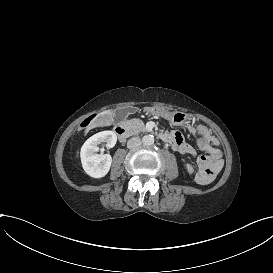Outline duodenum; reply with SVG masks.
I'll list each match as a JSON object with an SVG mask.
<instances>
[{
  "label": "duodenum",
  "mask_w": 273,
  "mask_h": 273,
  "mask_svg": "<svg viewBox=\"0 0 273 273\" xmlns=\"http://www.w3.org/2000/svg\"><path fill=\"white\" fill-rule=\"evenodd\" d=\"M115 133L118 136V138L123 141L125 140L128 135H129V129L126 125L124 124H119L115 127ZM160 138L165 141V142H169L170 141V137L167 134H160Z\"/></svg>",
  "instance_id": "410a0bca"
}]
</instances>
